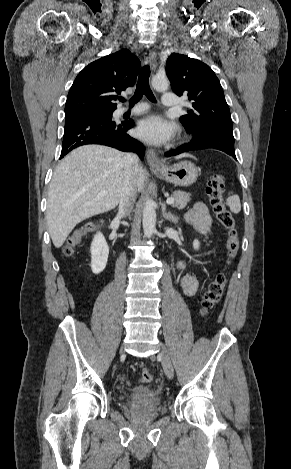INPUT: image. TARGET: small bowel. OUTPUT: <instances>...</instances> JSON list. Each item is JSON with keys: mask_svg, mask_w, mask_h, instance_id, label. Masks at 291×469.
<instances>
[{"mask_svg": "<svg viewBox=\"0 0 291 469\" xmlns=\"http://www.w3.org/2000/svg\"><path fill=\"white\" fill-rule=\"evenodd\" d=\"M186 220L199 234L206 233L211 222L208 210L202 202H198L194 205V207L187 213ZM178 267L182 270L184 268V262L179 261ZM180 285L185 295L193 296L198 290L199 282L194 276L183 274L180 279Z\"/></svg>", "mask_w": 291, "mask_h": 469, "instance_id": "obj_1", "label": "small bowel"}]
</instances>
